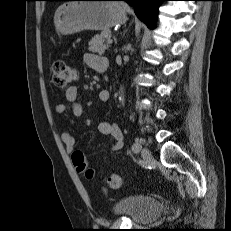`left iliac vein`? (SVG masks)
<instances>
[{"mask_svg": "<svg viewBox=\"0 0 231 231\" xmlns=\"http://www.w3.org/2000/svg\"><path fill=\"white\" fill-rule=\"evenodd\" d=\"M141 155H142L144 162L146 163L151 162L153 159L152 154L148 148H143L141 151Z\"/></svg>", "mask_w": 231, "mask_h": 231, "instance_id": "obj_1", "label": "left iliac vein"}]
</instances>
